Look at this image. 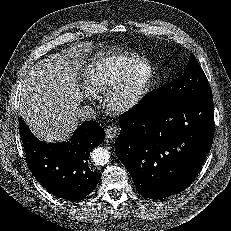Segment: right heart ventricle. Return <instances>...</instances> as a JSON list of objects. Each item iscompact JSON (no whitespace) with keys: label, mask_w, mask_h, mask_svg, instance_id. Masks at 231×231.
Here are the masks:
<instances>
[{"label":"right heart ventricle","mask_w":231,"mask_h":231,"mask_svg":"<svg viewBox=\"0 0 231 231\" xmlns=\"http://www.w3.org/2000/svg\"><path fill=\"white\" fill-rule=\"evenodd\" d=\"M141 58L133 54L109 53L91 59L82 69L80 81L91 96H98L123 76Z\"/></svg>","instance_id":"e07e8e85"}]
</instances>
